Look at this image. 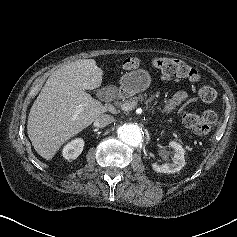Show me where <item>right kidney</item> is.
Instances as JSON below:
<instances>
[{
  "label": "right kidney",
  "mask_w": 237,
  "mask_h": 237,
  "mask_svg": "<svg viewBox=\"0 0 237 237\" xmlns=\"http://www.w3.org/2000/svg\"><path fill=\"white\" fill-rule=\"evenodd\" d=\"M83 147L84 140L81 138H76L64 146L62 150L63 157L66 160H74L81 154Z\"/></svg>",
  "instance_id": "obj_1"
}]
</instances>
